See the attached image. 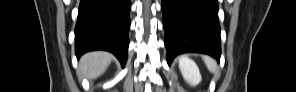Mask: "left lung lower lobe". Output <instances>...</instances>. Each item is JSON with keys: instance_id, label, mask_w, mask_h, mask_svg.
I'll return each mask as SVG.
<instances>
[{"instance_id": "obj_1", "label": "left lung lower lobe", "mask_w": 296, "mask_h": 92, "mask_svg": "<svg viewBox=\"0 0 296 92\" xmlns=\"http://www.w3.org/2000/svg\"><path fill=\"white\" fill-rule=\"evenodd\" d=\"M167 62L185 52L221 55L217 0H162Z\"/></svg>"}]
</instances>
